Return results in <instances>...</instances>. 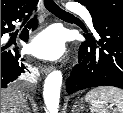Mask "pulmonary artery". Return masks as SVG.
<instances>
[{
	"label": "pulmonary artery",
	"mask_w": 123,
	"mask_h": 113,
	"mask_svg": "<svg viewBox=\"0 0 123 113\" xmlns=\"http://www.w3.org/2000/svg\"><path fill=\"white\" fill-rule=\"evenodd\" d=\"M69 8L73 11L78 13L80 16L83 17V19L89 24L92 25V18L90 16V13L87 9L81 7L80 5L76 3H70Z\"/></svg>",
	"instance_id": "e3ab8cb5"
}]
</instances>
